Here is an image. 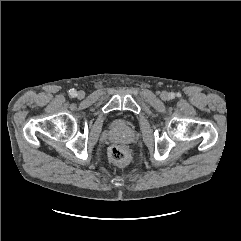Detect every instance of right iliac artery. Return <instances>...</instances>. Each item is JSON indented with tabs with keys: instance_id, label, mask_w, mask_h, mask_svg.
<instances>
[{
	"instance_id": "82829eb1",
	"label": "right iliac artery",
	"mask_w": 241,
	"mask_h": 241,
	"mask_svg": "<svg viewBox=\"0 0 241 241\" xmlns=\"http://www.w3.org/2000/svg\"><path fill=\"white\" fill-rule=\"evenodd\" d=\"M69 95H70V97H72V98L76 97V96H77L76 90L71 89V90L69 91Z\"/></svg>"
}]
</instances>
